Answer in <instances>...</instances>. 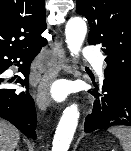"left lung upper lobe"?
I'll return each mask as SVG.
<instances>
[{
    "label": "left lung upper lobe",
    "instance_id": "left-lung-upper-lobe-1",
    "mask_svg": "<svg viewBox=\"0 0 131 151\" xmlns=\"http://www.w3.org/2000/svg\"><path fill=\"white\" fill-rule=\"evenodd\" d=\"M89 21L88 42L107 55L105 75L131 83V0H76Z\"/></svg>",
    "mask_w": 131,
    "mask_h": 151
}]
</instances>
